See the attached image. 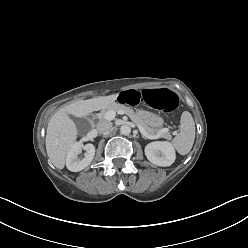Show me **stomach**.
Masks as SVG:
<instances>
[{"mask_svg": "<svg viewBox=\"0 0 248 248\" xmlns=\"http://www.w3.org/2000/svg\"><path fill=\"white\" fill-rule=\"evenodd\" d=\"M137 115L152 128H160L163 125V119L154 113L138 110Z\"/></svg>", "mask_w": 248, "mask_h": 248, "instance_id": "0dacf381", "label": "stomach"}]
</instances>
